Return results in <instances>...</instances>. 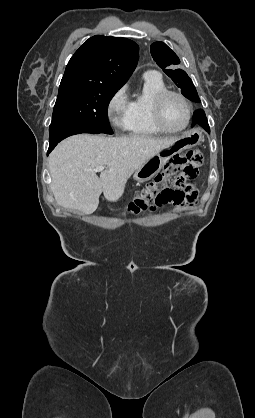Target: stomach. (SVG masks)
<instances>
[{
	"label": "stomach",
	"instance_id": "obj_1",
	"mask_svg": "<svg viewBox=\"0 0 255 418\" xmlns=\"http://www.w3.org/2000/svg\"><path fill=\"white\" fill-rule=\"evenodd\" d=\"M202 140V134L199 130L194 129L185 133L170 148L157 153L155 156L146 161L134 174V179L143 183L152 179L160 172L166 160L185 149L196 146Z\"/></svg>",
	"mask_w": 255,
	"mask_h": 418
}]
</instances>
